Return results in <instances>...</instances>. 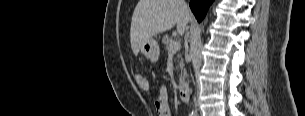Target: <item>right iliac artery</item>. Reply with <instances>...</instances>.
<instances>
[{
	"instance_id": "82829eb1",
	"label": "right iliac artery",
	"mask_w": 305,
	"mask_h": 116,
	"mask_svg": "<svg viewBox=\"0 0 305 116\" xmlns=\"http://www.w3.org/2000/svg\"><path fill=\"white\" fill-rule=\"evenodd\" d=\"M190 116H195V115L192 113V114H190Z\"/></svg>"
}]
</instances>
